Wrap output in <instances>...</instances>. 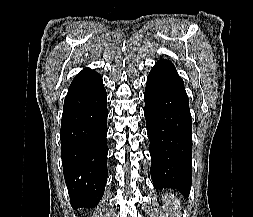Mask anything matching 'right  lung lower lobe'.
<instances>
[{
	"label": "right lung lower lobe",
	"mask_w": 253,
	"mask_h": 217,
	"mask_svg": "<svg viewBox=\"0 0 253 217\" xmlns=\"http://www.w3.org/2000/svg\"><path fill=\"white\" fill-rule=\"evenodd\" d=\"M107 93L90 68L72 81L61 121V156L72 206L95 207L107 182Z\"/></svg>",
	"instance_id": "obj_1"
}]
</instances>
